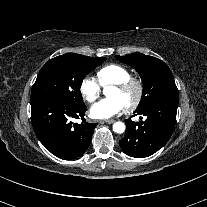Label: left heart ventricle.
Masks as SVG:
<instances>
[{"mask_svg":"<svg viewBox=\"0 0 207 207\" xmlns=\"http://www.w3.org/2000/svg\"><path fill=\"white\" fill-rule=\"evenodd\" d=\"M134 95H135L134 89H130L127 92L122 93V92L118 91L116 88H113L110 93L111 98H118V99L122 100L126 106L133 99Z\"/></svg>","mask_w":207,"mask_h":207,"instance_id":"left-heart-ventricle-1","label":"left heart ventricle"}]
</instances>
